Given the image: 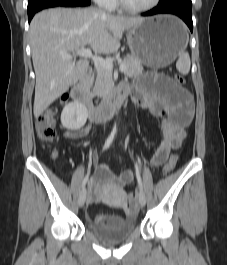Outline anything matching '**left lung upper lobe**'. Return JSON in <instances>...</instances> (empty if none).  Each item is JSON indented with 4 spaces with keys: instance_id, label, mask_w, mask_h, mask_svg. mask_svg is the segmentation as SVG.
<instances>
[{
    "instance_id": "1",
    "label": "left lung upper lobe",
    "mask_w": 227,
    "mask_h": 265,
    "mask_svg": "<svg viewBox=\"0 0 227 265\" xmlns=\"http://www.w3.org/2000/svg\"><path fill=\"white\" fill-rule=\"evenodd\" d=\"M166 5H186L192 6L191 0H160L158 6H166Z\"/></svg>"
}]
</instances>
